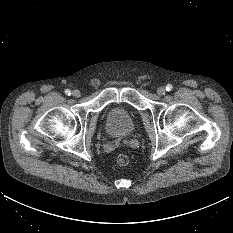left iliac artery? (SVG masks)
<instances>
[{
	"label": "left iliac artery",
	"mask_w": 233,
	"mask_h": 233,
	"mask_svg": "<svg viewBox=\"0 0 233 233\" xmlns=\"http://www.w3.org/2000/svg\"><path fill=\"white\" fill-rule=\"evenodd\" d=\"M172 89H173V87H172L171 84H168V85L166 86V91H170V90H172Z\"/></svg>",
	"instance_id": "44dca946"
}]
</instances>
